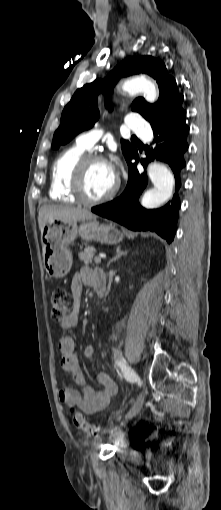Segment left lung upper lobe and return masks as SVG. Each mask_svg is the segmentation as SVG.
<instances>
[{"label":"left lung upper lobe","instance_id":"left-lung-upper-lobe-1","mask_svg":"<svg viewBox=\"0 0 221 510\" xmlns=\"http://www.w3.org/2000/svg\"><path fill=\"white\" fill-rule=\"evenodd\" d=\"M145 73L153 77L159 86L160 96L155 104L147 103L144 98H136L131 110L140 113L150 124H154L185 112L181 106L183 95L177 90L175 79L167 72L165 64L151 56L131 57L123 60L102 80H95L79 88L65 106L59 128L55 131L52 148L72 140L78 133L91 128L100 116L98 94L106 96L121 76ZM111 108V107H110ZM122 151L128 160L137 152L129 141L122 140Z\"/></svg>","mask_w":221,"mask_h":510}]
</instances>
